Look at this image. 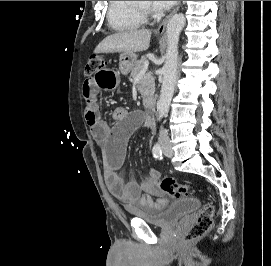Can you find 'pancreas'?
I'll return each instance as SVG.
<instances>
[{
	"mask_svg": "<svg viewBox=\"0 0 271 266\" xmlns=\"http://www.w3.org/2000/svg\"><path fill=\"white\" fill-rule=\"evenodd\" d=\"M148 61L146 56H142L140 60L136 61L133 68L131 69V76H136L140 73L141 70L144 68V63ZM154 77L152 76L151 72H147L143 75L141 79L138 90L142 96L152 94L155 90L154 84Z\"/></svg>",
	"mask_w": 271,
	"mask_h": 266,
	"instance_id": "cf45deb5",
	"label": "pancreas"
}]
</instances>
